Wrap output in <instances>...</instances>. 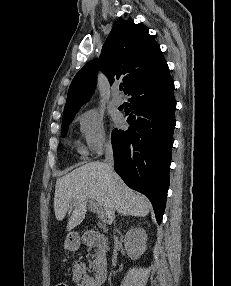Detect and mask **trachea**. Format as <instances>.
Listing matches in <instances>:
<instances>
[{
	"label": "trachea",
	"instance_id": "trachea-1",
	"mask_svg": "<svg viewBox=\"0 0 231 286\" xmlns=\"http://www.w3.org/2000/svg\"><path fill=\"white\" fill-rule=\"evenodd\" d=\"M119 90H120V91H122V90H123V87H122V86H120V87H119Z\"/></svg>",
	"mask_w": 231,
	"mask_h": 286
}]
</instances>
